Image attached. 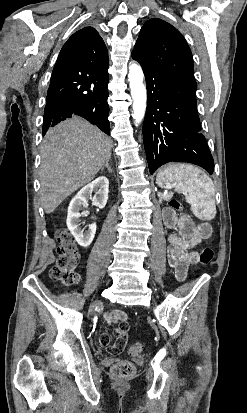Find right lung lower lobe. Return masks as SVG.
<instances>
[{"label": "right lung lower lobe", "mask_w": 247, "mask_h": 413, "mask_svg": "<svg viewBox=\"0 0 247 413\" xmlns=\"http://www.w3.org/2000/svg\"><path fill=\"white\" fill-rule=\"evenodd\" d=\"M108 68L91 73L53 70L44 109L43 135L49 127L79 115L110 135Z\"/></svg>", "instance_id": "98d812e1"}]
</instances>
